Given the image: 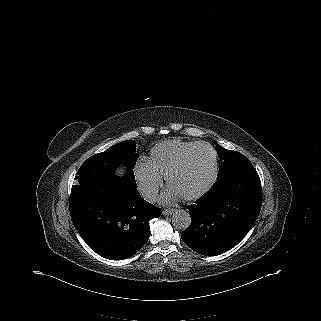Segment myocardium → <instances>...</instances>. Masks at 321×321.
I'll return each instance as SVG.
<instances>
[{
  "instance_id": "f54148a6",
  "label": "myocardium",
  "mask_w": 321,
  "mask_h": 321,
  "mask_svg": "<svg viewBox=\"0 0 321 321\" xmlns=\"http://www.w3.org/2000/svg\"><path fill=\"white\" fill-rule=\"evenodd\" d=\"M208 148L212 154H213V159H214V169H213V174L211 179L209 180V182L203 187L201 188L199 191L190 194V195H185V196H181L182 199L186 200V201H192L195 199H198L199 197L203 196L204 194H206L216 183L217 181V177H218V173H219V162H218V155L216 150L214 149V147L208 143H204V142H200L197 143L193 148H191L166 174V183L170 188V183L171 180L173 178V176L178 173L180 170H182V168H184L188 162V160L190 159L192 153L198 149V148Z\"/></svg>"
}]
</instances>
